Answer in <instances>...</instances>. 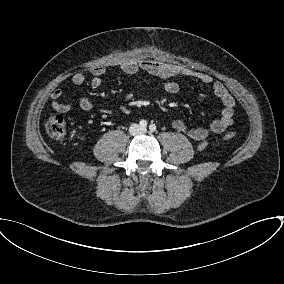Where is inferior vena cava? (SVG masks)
Returning a JSON list of instances; mask_svg holds the SVG:
<instances>
[{
    "instance_id": "602c4592",
    "label": "inferior vena cava",
    "mask_w": 284,
    "mask_h": 284,
    "mask_svg": "<svg viewBox=\"0 0 284 284\" xmlns=\"http://www.w3.org/2000/svg\"><path fill=\"white\" fill-rule=\"evenodd\" d=\"M131 135H137L143 133V128L138 124H132L129 128Z\"/></svg>"
}]
</instances>
